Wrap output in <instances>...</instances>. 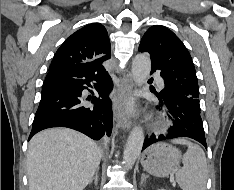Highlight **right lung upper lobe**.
<instances>
[{
    "label": "right lung upper lobe",
    "mask_w": 234,
    "mask_h": 190,
    "mask_svg": "<svg viewBox=\"0 0 234 190\" xmlns=\"http://www.w3.org/2000/svg\"><path fill=\"white\" fill-rule=\"evenodd\" d=\"M108 33L100 23L89 24L71 36L57 50L49 72L70 65L99 60L104 62L111 57Z\"/></svg>",
    "instance_id": "cb5924a9"
}]
</instances>
